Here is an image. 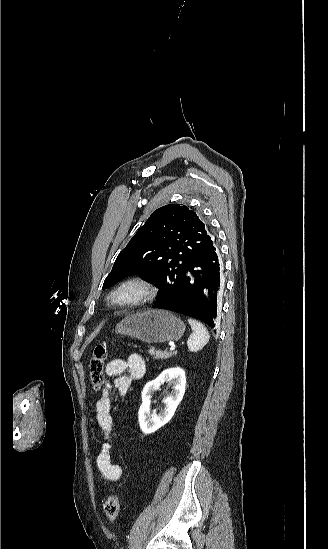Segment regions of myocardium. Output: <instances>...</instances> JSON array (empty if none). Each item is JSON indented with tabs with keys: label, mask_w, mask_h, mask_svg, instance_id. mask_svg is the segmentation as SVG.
Returning <instances> with one entry per match:
<instances>
[{
	"label": "myocardium",
	"mask_w": 328,
	"mask_h": 549,
	"mask_svg": "<svg viewBox=\"0 0 328 549\" xmlns=\"http://www.w3.org/2000/svg\"><path fill=\"white\" fill-rule=\"evenodd\" d=\"M156 294V286L141 275H129L113 285L105 296V304L113 310H130L149 303Z\"/></svg>",
	"instance_id": "f54148a6"
}]
</instances>
